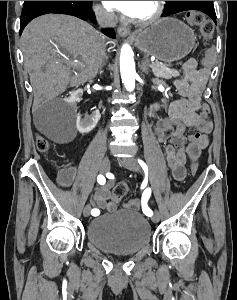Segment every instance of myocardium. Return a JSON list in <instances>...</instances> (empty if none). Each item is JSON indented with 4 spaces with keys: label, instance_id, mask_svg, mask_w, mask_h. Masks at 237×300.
Here are the masks:
<instances>
[{
    "label": "myocardium",
    "instance_id": "1",
    "mask_svg": "<svg viewBox=\"0 0 237 300\" xmlns=\"http://www.w3.org/2000/svg\"><path fill=\"white\" fill-rule=\"evenodd\" d=\"M164 7L165 1H154V10L148 17L142 19L133 18L131 21L134 24L142 27L152 25L161 18L164 12Z\"/></svg>",
    "mask_w": 237,
    "mask_h": 300
}]
</instances>
